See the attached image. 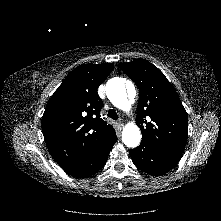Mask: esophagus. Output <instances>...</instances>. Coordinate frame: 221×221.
<instances>
[{"label":"esophagus","instance_id":"obj_1","mask_svg":"<svg viewBox=\"0 0 221 221\" xmlns=\"http://www.w3.org/2000/svg\"><path fill=\"white\" fill-rule=\"evenodd\" d=\"M118 123H119L120 126H124V124H125V122H124L122 119H120V120L118 121Z\"/></svg>","mask_w":221,"mask_h":221}]
</instances>
